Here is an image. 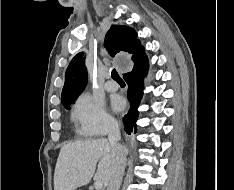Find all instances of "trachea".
Masks as SVG:
<instances>
[{"instance_id": "trachea-1", "label": "trachea", "mask_w": 234, "mask_h": 190, "mask_svg": "<svg viewBox=\"0 0 234 190\" xmlns=\"http://www.w3.org/2000/svg\"><path fill=\"white\" fill-rule=\"evenodd\" d=\"M111 75L115 81H122L121 77L119 76L118 72L115 69L112 70Z\"/></svg>"}]
</instances>
